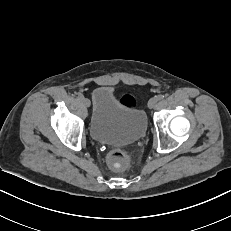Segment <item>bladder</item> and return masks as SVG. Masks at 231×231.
<instances>
[{"instance_id": "31cf9c89", "label": "bladder", "mask_w": 231, "mask_h": 231, "mask_svg": "<svg viewBox=\"0 0 231 231\" xmlns=\"http://www.w3.org/2000/svg\"><path fill=\"white\" fill-rule=\"evenodd\" d=\"M147 130L144 110L115 97L109 86H99L93 92L90 133L106 144H129L140 140Z\"/></svg>"}]
</instances>
